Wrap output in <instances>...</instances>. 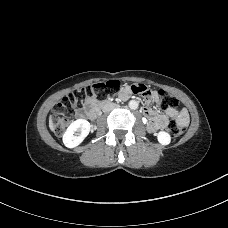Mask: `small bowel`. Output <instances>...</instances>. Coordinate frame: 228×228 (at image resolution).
<instances>
[{
	"label": "small bowel",
	"mask_w": 228,
	"mask_h": 228,
	"mask_svg": "<svg viewBox=\"0 0 228 228\" xmlns=\"http://www.w3.org/2000/svg\"><path fill=\"white\" fill-rule=\"evenodd\" d=\"M130 93H131L130 88L128 86H126L120 91L119 96L125 100V99L129 98ZM146 100H147V104H150L152 102H156L158 100V96L156 93H152L150 97L146 98ZM97 101L98 100L95 96L88 97L86 102H85L86 103L85 109L82 111H79L77 113V115L79 117L85 116L87 114V112L95 104H97ZM145 111L150 116L155 117L159 120V124L156 125L155 130L164 129L168 125V118L166 116L155 115L149 105L145 106ZM168 115H169V117L176 119L177 122H179L183 126H186L188 124L189 116H188V113L185 109H170V110H168ZM155 130H153V131H155ZM149 131H151V130H149Z\"/></svg>",
	"instance_id": "small-bowel-1"
}]
</instances>
